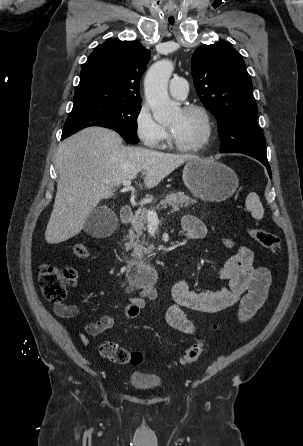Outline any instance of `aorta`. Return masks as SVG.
I'll list each match as a JSON object with an SVG mask.
<instances>
[{
  "mask_svg": "<svg viewBox=\"0 0 303 446\" xmlns=\"http://www.w3.org/2000/svg\"><path fill=\"white\" fill-rule=\"evenodd\" d=\"M173 70L171 61H158L150 67L144 80L146 100L154 119L160 123L173 118L179 110L178 105L169 98L167 90Z\"/></svg>",
  "mask_w": 303,
  "mask_h": 446,
  "instance_id": "obj_1",
  "label": "aorta"
}]
</instances>
